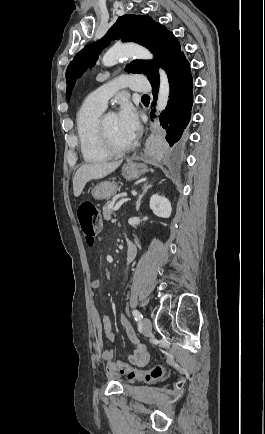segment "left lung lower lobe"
<instances>
[{"label":"left lung lower lobe","mask_w":265,"mask_h":434,"mask_svg":"<svg viewBox=\"0 0 265 434\" xmlns=\"http://www.w3.org/2000/svg\"><path fill=\"white\" fill-rule=\"evenodd\" d=\"M170 100L161 116L162 127L167 130L165 140L157 142V148L166 153H177L184 149L190 138L188 127L193 105V79L191 68L185 55H180L168 73ZM159 85L153 87L157 99Z\"/></svg>","instance_id":"left-lung-lower-lobe-1"}]
</instances>
